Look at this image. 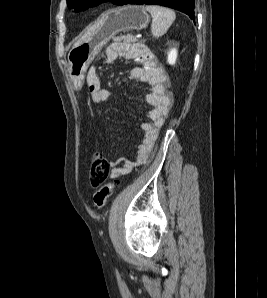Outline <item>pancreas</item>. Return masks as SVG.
I'll return each mask as SVG.
<instances>
[{"instance_id":"pancreas-1","label":"pancreas","mask_w":267,"mask_h":298,"mask_svg":"<svg viewBox=\"0 0 267 298\" xmlns=\"http://www.w3.org/2000/svg\"><path fill=\"white\" fill-rule=\"evenodd\" d=\"M121 39L128 42V43H135L137 41V39L132 35L122 36Z\"/></svg>"}]
</instances>
